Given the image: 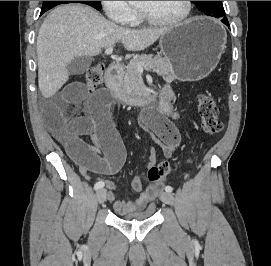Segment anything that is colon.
<instances>
[{
  "label": "colon",
  "instance_id": "1",
  "mask_svg": "<svg viewBox=\"0 0 271 266\" xmlns=\"http://www.w3.org/2000/svg\"><path fill=\"white\" fill-rule=\"evenodd\" d=\"M103 66L100 64L91 66L85 75V83L89 90L96 89L102 82ZM199 114L203 120L204 132L209 136L218 135L223 129V123L219 120L218 106L209 92L200 93L197 96ZM172 167L168 162H160L148 167L147 176L152 183H161L171 174Z\"/></svg>",
  "mask_w": 271,
  "mask_h": 266
}]
</instances>
